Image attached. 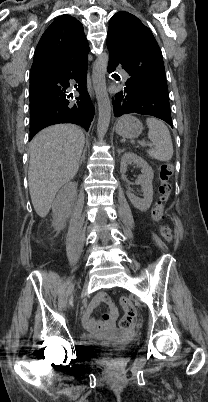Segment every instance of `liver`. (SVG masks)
<instances>
[{
  "label": "liver",
  "instance_id": "6515ba94",
  "mask_svg": "<svg viewBox=\"0 0 208 402\" xmlns=\"http://www.w3.org/2000/svg\"><path fill=\"white\" fill-rule=\"evenodd\" d=\"M85 136L73 124H57L39 132L30 144L29 192L40 218L49 214L54 198L79 168Z\"/></svg>",
  "mask_w": 208,
  "mask_h": 402
}]
</instances>
